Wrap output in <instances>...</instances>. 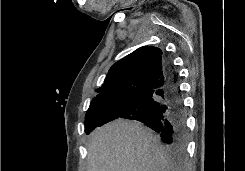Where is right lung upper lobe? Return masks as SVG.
Instances as JSON below:
<instances>
[{"label": "right lung upper lobe", "mask_w": 245, "mask_h": 171, "mask_svg": "<svg viewBox=\"0 0 245 171\" xmlns=\"http://www.w3.org/2000/svg\"><path fill=\"white\" fill-rule=\"evenodd\" d=\"M165 60L162 50L157 47L138 48L112 65L92 102L117 96L130 99L162 87L166 83Z\"/></svg>", "instance_id": "1"}]
</instances>
